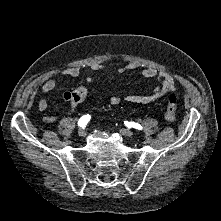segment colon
Segmentation results:
<instances>
[{
  "mask_svg": "<svg viewBox=\"0 0 221 221\" xmlns=\"http://www.w3.org/2000/svg\"><path fill=\"white\" fill-rule=\"evenodd\" d=\"M88 93L87 88H79L71 93L69 100L70 103L76 104L80 102ZM176 110H177V98L174 93H169L166 101V110H165V120L167 122H174L176 118Z\"/></svg>",
  "mask_w": 221,
  "mask_h": 221,
  "instance_id": "5ec220e1",
  "label": "colon"
}]
</instances>
